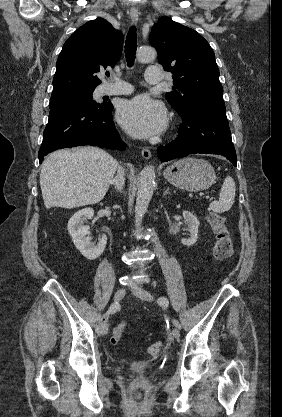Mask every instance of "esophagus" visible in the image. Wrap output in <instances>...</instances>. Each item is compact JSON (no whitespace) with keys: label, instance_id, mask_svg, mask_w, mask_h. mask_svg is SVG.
<instances>
[{"label":"esophagus","instance_id":"1","mask_svg":"<svg viewBox=\"0 0 282 417\" xmlns=\"http://www.w3.org/2000/svg\"><path fill=\"white\" fill-rule=\"evenodd\" d=\"M139 12L138 10H130V17L134 23L138 21ZM142 156L144 159L148 160L151 157V152L149 149L144 148L142 150Z\"/></svg>","mask_w":282,"mask_h":417}]
</instances>
